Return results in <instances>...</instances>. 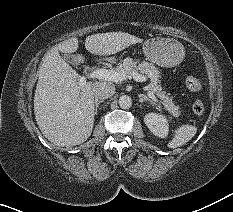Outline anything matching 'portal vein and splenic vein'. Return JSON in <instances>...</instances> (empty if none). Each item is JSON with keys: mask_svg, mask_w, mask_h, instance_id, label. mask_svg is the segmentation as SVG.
<instances>
[{"mask_svg": "<svg viewBox=\"0 0 233 212\" xmlns=\"http://www.w3.org/2000/svg\"><path fill=\"white\" fill-rule=\"evenodd\" d=\"M132 77L135 81H139V82L146 81L145 76H143L137 72H133ZM88 78L103 79V80L112 81V82L117 83V82H122L123 80H125L126 76H125V74L117 72V71L98 68V69L92 71L89 74ZM79 82H80V84H85L86 77H84V76L80 77ZM147 95L151 99L156 100V97L152 91H148Z\"/></svg>", "mask_w": 233, "mask_h": 212, "instance_id": "obj_1", "label": "portal vein and splenic vein"}]
</instances>
